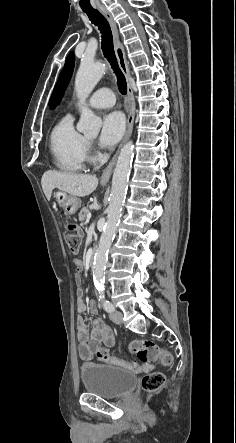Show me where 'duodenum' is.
<instances>
[{
  "label": "duodenum",
  "instance_id": "duodenum-1",
  "mask_svg": "<svg viewBox=\"0 0 236 443\" xmlns=\"http://www.w3.org/2000/svg\"><path fill=\"white\" fill-rule=\"evenodd\" d=\"M93 261H94V253H91V254L89 255V257H88V264H89L90 266H92Z\"/></svg>",
  "mask_w": 236,
  "mask_h": 443
}]
</instances>
